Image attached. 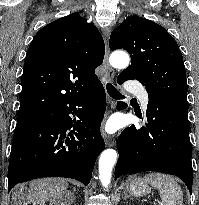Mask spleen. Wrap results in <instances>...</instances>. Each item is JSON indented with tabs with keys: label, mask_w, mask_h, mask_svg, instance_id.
<instances>
[{
	"label": "spleen",
	"mask_w": 199,
	"mask_h": 205,
	"mask_svg": "<svg viewBox=\"0 0 199 205\" xmlns=\"http://www.w3.org/2000/svg\"><path fill=\"white\" fill-rule=\"evenodd\" d=\"M144 180L159 189L165 205L183 204L182 190L170 176L161 173H149L145 175Z\"/></svg>",
	"instance_id": "1"
}]
</instances>
